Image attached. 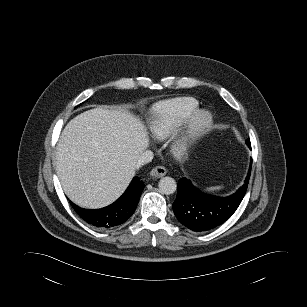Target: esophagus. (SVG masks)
<instances>
[{
    "instance_id": "esophagus-1",
    "label": "esophagus",
    "mask_w": 307,
    "mask_h": 307,
    "mask_svg": "<svg viewBox=\"0 0 307 307\" xmlns=\"http://www.w3.org/2000/svg\"><path fill=\"white\" fill-rule=\"evenodd\" d=\"M167 173V170L163 166H156L150 171V175L154 177H163Z\"/></svg>"
}]
</instances>
